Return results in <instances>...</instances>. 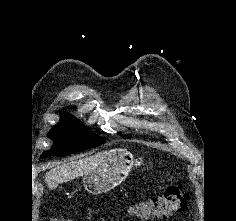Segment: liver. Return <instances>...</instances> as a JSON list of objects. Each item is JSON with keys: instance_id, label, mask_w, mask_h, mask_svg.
I'll return each mask as SVG.
<instances>
[{"instance_id": "6515ba94", "label": "liver", "mask_w": 236, "mask_h": 221, "mask_svg": "<svg viewBox=\"0 0 236 221\" xmlns=\"http://www.w3.org/2000/svg\"><path fill=\"white\" fill-rule=\"evenodd\" d=\"M108 154L107 151L97 153L93 156L71 161L60 166H56L46 173V183L50 189H54L58 184L74 180L93 170Z\"/></svg>"}]
</instances>
